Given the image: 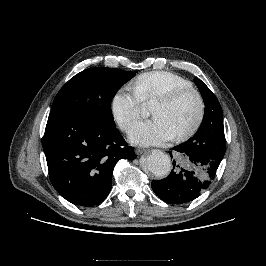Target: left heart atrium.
<instances>
[{
    "label": "left heart atrium",
    "instance_id": "39dd6f15",
    "mask_svg": "<svg viewBox=\"0 0 266 266\" xmlns=\"http://www.w3.org/2000/svg\"><path fill=\"white\" fill-rule=\"evenodd\" d=\"M175 136L171 126L162 118L139 122L129 132L132 143L145 146L164 144Z\"/></svg>",
    "mask_w": 266,
    "mask_h": 266
}]
</instances>
